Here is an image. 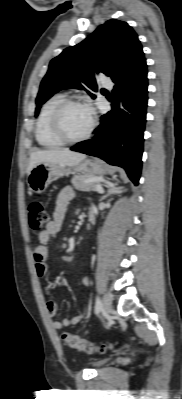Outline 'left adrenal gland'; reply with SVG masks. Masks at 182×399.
I'll list each match as a JSON object with an SVG mask.
<instances>
[{
    "instance_id": "obj_1",
    "label": "left adrenal gland",
    "mask_w": 182,
    "mask_h": 399,
    "mask_svg": "<svg viewBox=\"0 0 182 399\" xmlns=\"http://www.w3.org/2000/svg\"><path fill=\"white\" fill-rule=\"evenodd\" d=\"M122 189H123V187H117V183H115V184H110L109 186H108V190H107V193L101 198V200H104L106 197H108L109 195H111V194H114V193H120L121 191H122Z\"/></svg>"
}]
</instances>
